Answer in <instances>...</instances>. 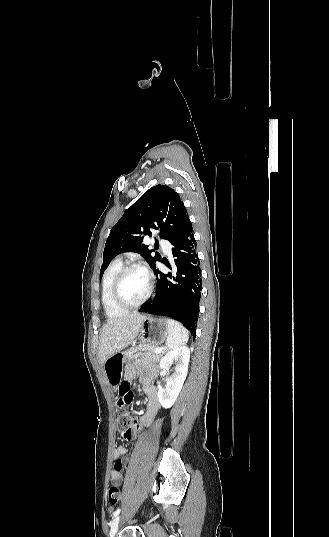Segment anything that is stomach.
<instances>
[{"instance_id": "0dacf381", "label": "stomach", "mask_w": 329, "mask_h": 537, "mask_svg": "<svg viewBox=\"0 0 329 537\" xmlns=\"http://www.w3.org/2000/svg\"><path fill=\"white\" fill-rule=\"evenodd\" d=\"M169 333L168 320L164 318H156L151 315L144 316L142 321L138 338L147 343L148 345H160L162 344ZM123 355L122 353H115L110 356L104 363L103 368L106 374V378L110 385H117L123 375Z\"/></svg>"}]
</instances>
